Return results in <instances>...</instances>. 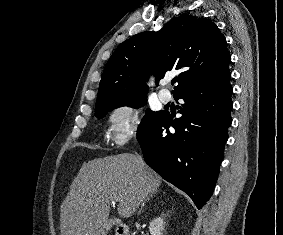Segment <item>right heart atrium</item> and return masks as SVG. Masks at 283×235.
<instances>
[{
    "instance_id": "obj_1",
    "label": "right heart atrium",
    "mask_w": 283,
    "mask_h": 235,
    "mask_svg": "<svg viewBox=\"0 0 283 235\" xmlns=\"http://www.w3.org/2000/svg\"><path fill=\"white\" fill-rule=\"evenodd\" d=\"M141 121L140 109L132 103H122L109 114V135L116 146L124 145L132 138Z\"/></svg>"
}]
</instances>
